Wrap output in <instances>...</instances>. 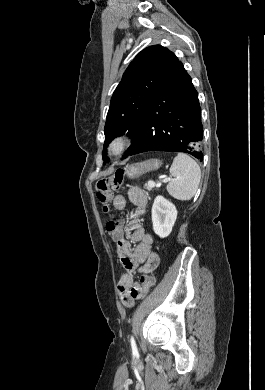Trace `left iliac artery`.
I'll return each instance as SVG.
<instances>
[{
  "instance_id": "44dca946",
  "label": "left iliac artery",
  "mask_w": 265,
  "mask_h": 390,
  "mask_svg": "<svg viewBox=\"0 0 265 390\" xmlns=\"http://www.w3.org/2000/svg\"><path fill=\"white\" fill-rule=\"evenodd\" d=\"M130 341H131L132 353L134 355H138V350L134 338L131 337Z\"/></svg>"
}]
</instances>
